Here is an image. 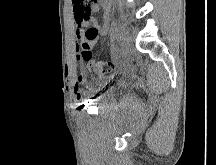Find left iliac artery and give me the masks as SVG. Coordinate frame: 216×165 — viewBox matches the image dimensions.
Masks as SVG:
<instances>
[{
  "label": "left iliac artery",
  "mask_w": 216,
  "mask_h": 165,
  "mask_svg": "<svg viewBox=\"0 0 216 165\" xmlns=\"http://www.w3.org/2000/svg\"><path fill=\"white\" fill-rule=\"evenodd\" d=\"M116 29H117V22L114 20L112 23V34H115Z\"/></svg>",
  "instance_id": "1"
}]
</instances>
